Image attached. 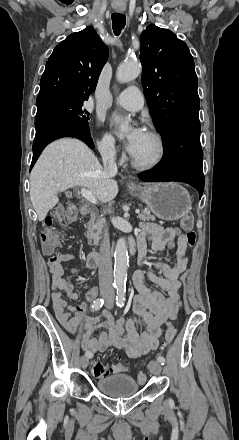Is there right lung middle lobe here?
Returning a JSON list of instances; mask_svg holds the SVG:
<instances>
[{"instance_id": "obj_1", "label": "right lung middle lobe", "mask_w": 239, "mask_h": 440, "mask_svg": "<svg viewBox=\"0 0 239 440\" xmlns=\"http://www.w3.org/2000/svg\"><path fill=\"white\" fill-rule=\"evenodd\" d=\"M84 100L87 98L54 96L36 102L35 121L46 117H58L88 128L89 113L82 109Z\"/></svg>"}]
</instances>
